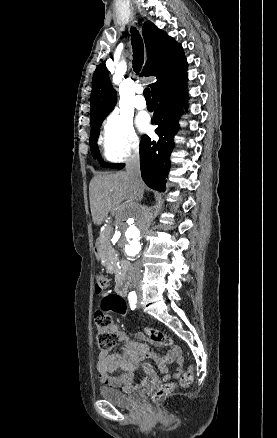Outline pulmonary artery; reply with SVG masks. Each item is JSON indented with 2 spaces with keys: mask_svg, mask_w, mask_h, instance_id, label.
<instances>
[{
  "mask_svg": "<svg viewBox=\"0 0 277 438\" xmlns=\"http://www.w3.org/2000/svg\"><path fill=\"white\" fill-rule=\"evenodd\" d=\"M136 94H141V89H136ZM134 105H135V107L137 108V109H145L146 108V101H145V99L144 98H142V97H139V98H136L135 100H134Z\"/></svg>",
  "mask_w": 277,
  "mask_h": 438,
  "instance_id": "pulmonary-artery-1",
  "label": "pulmonary artery"
}]
</instances>
